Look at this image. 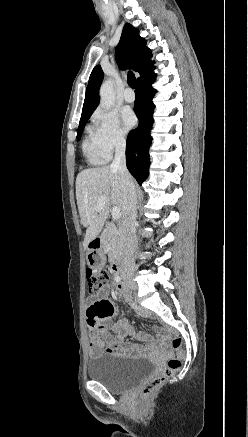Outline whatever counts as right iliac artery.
<instances>
[{"label": "right iliac artery", "instance_id": "1", "mask_svg": "<svg viewBox=\"0 0 248 437\" xmlns=\"http://www.w3.org/2000/svg\"><path fill=\"white\" fill-rule=\"evenodd\" d=\"M115 280H116L117 282H120V281H121V277H120V276H117V277H115Z\"/></svg>", "mask_w": 248, "mask_h": 437}]
</instances>
